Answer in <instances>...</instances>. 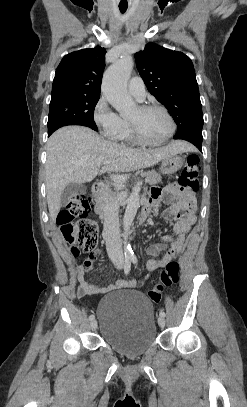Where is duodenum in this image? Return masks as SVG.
<instances>
[{"label":"duodenum","mask_w":247,"mask_h":407,"mask_svg":"<svg viewBox=\"0 0 247 407\" xmlns=\"http://www.w3.org/2000/svg\"><path fill=\"white\" fill-rule=\"evenodd\" d=\"M107 183L104 179H97L94 181L92 189L93 194L95 196V213L100 217L101 220L106 221L108 219V207L100 199V195L102 194L103 190L105 189ZM151 210V205L144 201L139 213L138 222L143 223L149 216Z\"/></svg>","instance_id":"obj_1"}]
</instances>
